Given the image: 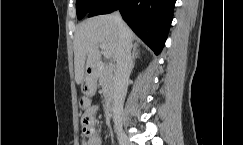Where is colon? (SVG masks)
Listing matches in <instances>:
<instances>
[{
	"label": "colon",
	"mask_w": 243,
	"mask_h": 145,
	"mask_svg": "<svg viewBox=\"0 0 243 145\" xmlns=\"http://www.w3.org/2000/svg\"><path fill=\"white\" fill-rule=\"evenodd\" d=\"M94 127L91 119L88 116H84L82 119V133L84 137H88L93 133Z\"/></svg>",
	"instance_id": "colon-1"
}]
</instances>
